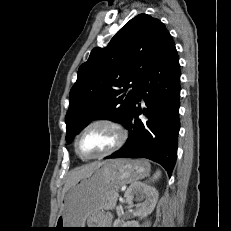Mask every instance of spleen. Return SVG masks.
Instances as JSON below:
<instances>
[{
  "label": "spleen",
  "mask_w": 231,
  "mask_h": 231,
  "mask_svg": "<svg viewBox=\"0 0 231 231\" xmlns=\"http://www.w3.org/2000/svg\"><path fill=\"white\" fill-rule=\"evenodd\" d=\"M160 176H161V171H160V170H157L156 173L153 175V177H152L151 180H152V181H155V180L159 179Z\"/></svg>",
  "instance_id": "1"
}]
</instances>
